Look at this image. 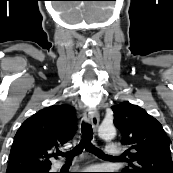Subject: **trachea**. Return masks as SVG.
I'll list each match as a JSON object with an SVG mask.
<instances>
[{
	"label": "trachea",
	"mask_w": 173,
	"mask_h": 173,
	"mask_svg": "<svg viewBox=\"0 0 173 173\" xmlns=\"http://www.w3.org/2000/svg\"><path fill=\"white\" fill-rule=\"evenodd\" d=\"M81 132H82L81 141L75 148H73V150L68 151L66 153L59 152L57 153V155L66 157L67 160L70 161L73 159L74 156L79 155L85 148L86 151L93 153L97 155L98 157L110 158V156L104 154L102 150L92 145L91 140L93 138V130L90 124L82 123Z\"/></svg>",
	"instance_id": "obj_1"
}]
</instances>
